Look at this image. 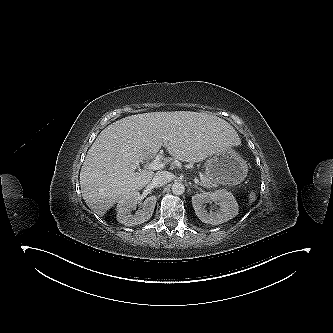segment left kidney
I'll return each mask as SVG.
<instances>
[{
    "label": "left kidney",
    "instance_id": "left-kidney-1",
    "mask_svg": "<svg viewBox=\"0 0 333 333\" xmlns=\"http://www.w3.org/2000/svg\"><path fill=\"white\" fill-rule=\"evenodd\" d=\"M211 202H214L220 208L207 212L205 206ZM192 205L197 217L202 222L211 225L227 222L238 214V204L235 197L225 190L195 194L192 196Z\"/></svg>",
    "mask_w": 333,
    "mask_h": 333
}]
</instances>
